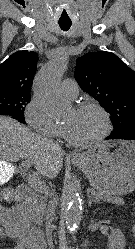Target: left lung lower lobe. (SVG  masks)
Returning <instances> with one entry per match:
<instances>
[{
  "mask_svg": "<svg viewBox=\"0 0 135 249\" xmlns=\"http://www.w3.org/2000/svg\"><path fill=\"white\" fill-rule=\"evenodd\" d=\"M106 139H130L135 140V121L132 122V125L129 129L122 132H112L110 136Z\"/></svg>",
  "mask_w": 135,
  "mask_h": 249,
  "instance_id": "obj_1",
  "label": "left lung lower lobe"
}]
</instances>
